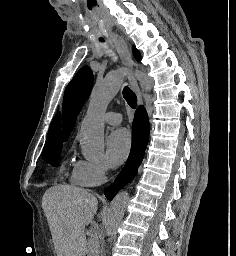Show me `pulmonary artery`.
Returning <instances> with one entry per match:
<instances>
[{"label":"pulmonary artery","mask_w":236,"mask_h":256,"mask_svg":"<svg viewBox=\"0 0 236 256\" xmlns=\"http://www.w3.org/2000/svg\"><path fill=\"white\" fill-rule=\"evenodd\" d=\"M104 122L111 124V125H119L121 123V115L117 112H106L103 115Z\"/></svg>","instance_id":"obj_1"}]
</instances>
